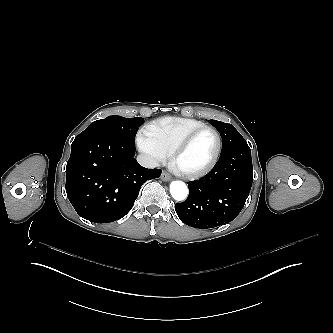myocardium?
Segmentation results:
<instances>
[{
    "mask_svg": "<svg viewBox=\"0 0 333 333\" xmlns=\"http://www.w3.org/2000/svg\"><path fill=\"white\" fill-rule=\"evenodd\" d=\"M204 130H210L217 141V148L215 151V154L213 156V158L211 159V161L204 167L194 170V171H180L177 170L174 167V162L176 160V158L189 146V144L191 143V141L193 140V138L199 134L200 132L204 131ZM221 151H222V139L220 134L218 133V131L209 125H204L198 128H195L191 131H189L187 134H185L177 143L176 145L173 147V149L171 150L169 157H168V167L170 168L171 171H173L176 175L186 178V179H198L200 177L205 176L206 174H208L210 171L213 170V168L216 166L220 155H221Z\"/></svg>",
    "mask_w": 333,
    "mask_h": 333,
    "instance_id": "obj_1",
    "label": "myocardium"
}]
</instances>
